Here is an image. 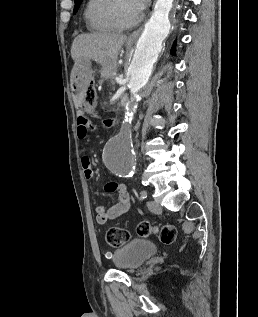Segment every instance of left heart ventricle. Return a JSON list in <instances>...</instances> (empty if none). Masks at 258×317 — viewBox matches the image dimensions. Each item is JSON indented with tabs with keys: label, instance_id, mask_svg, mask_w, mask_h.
Instances as JSON below:
<instances>
[{
	"label": "left heart ventricle",
	"instance_id": "b2bd125f",
	"mask_svg": "<svg viewBox=\"0 0 258 317\" xmlns=\"http://www.w3.org/2000/svg\"><path fill=\"white\" fill-rule=\"evenodd\" d=\"M135 14V8L124 4L119 11V19L123 25H129L134 20Z\"/></svg>",
	"mask_w": 258,
	"mask_h": 317
}]
</instances>
